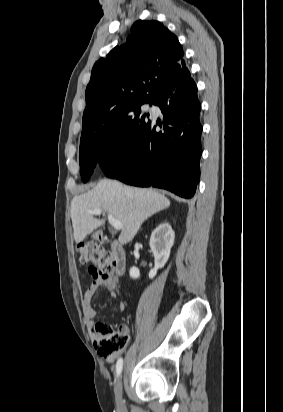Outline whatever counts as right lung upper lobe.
<instances>
[{"label": "right lung upper lobe", "mask_w": 283, "mask_h": 412, "mask_svg": "<svg viewBox=\"0 0 283 412\" xmlns=\"http://www.w3.org/2000/svg\"><path fill=\"white\" fill-rule=\"evenodd\" d=\"M126 44L97 61L86 88L81 139L117 126L133 108L155 103L190 77L177 37L158 21H137Z\"/></svg>", "instance_id": "obj_1"}]
</instances>
